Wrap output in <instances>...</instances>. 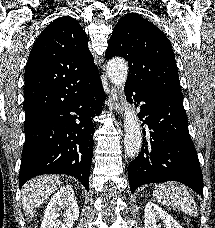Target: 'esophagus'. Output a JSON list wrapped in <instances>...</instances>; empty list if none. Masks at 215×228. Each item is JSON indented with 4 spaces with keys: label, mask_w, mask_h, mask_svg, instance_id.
I'll list each match as a JSON object with an SVG mask.
<instances>
[{
    "label": "esophagus",
    "mask_w": 215,
    "mask_h": 228,
    "mask_svg": "<svg viewBox=\"0 0 215 228\" xmlns=\"http://www.w3.org/2000/svg\"><path fill=\"white\" fill-rule=\"evenodd\" d=\"M110 98L113 102L114 110L122 115L124 112V98L118 87H111L109 90Z\"/></svg>",
    "instance_id": "obj_1"
}]
</instances>
